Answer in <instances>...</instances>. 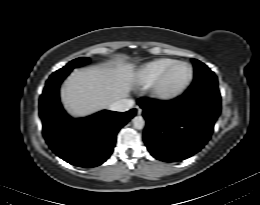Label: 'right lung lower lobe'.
I'll return each mask as SVG.
<instances>
[{"mask_svg": "<svg viewBox=\"0 0 260 205\" xmlns=\"http://www.w3.org/2000/svg\"><path fill=\"white\" fill-rule=\"evenodd\" d=\"M71 70L54 72L40 97L43 135L52 151L66 162L79 167H95L111 155L116 135L136 113L104 110L92 116L73 119L63 110L59 86Z\"/></svg>", "mask_w": 260, "mask_h": 205, "instance_id": "obj_1", "label": "right lung lower lobe"}]
</instances>
